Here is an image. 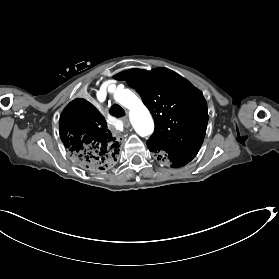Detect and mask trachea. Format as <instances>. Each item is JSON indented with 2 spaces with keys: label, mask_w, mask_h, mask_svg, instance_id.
Masks as SVG:
<instances>
[{
  "label": "trachea",
  "mask_w": 279,
  "mask_h": 279,
  "mask_svg": "<svg viewBox=\"0 0 279 279\" xmlns=\"http://www.w3.org/2000/svg\"><path fill=\"white\" fill-rule=\"evenodd\" d=\"M110 113L113 116H124L125 115L124 109L120 105H117V104H114L111 106Z\"/></svg>",
  "instance_id": "1"
}]
</instances>
